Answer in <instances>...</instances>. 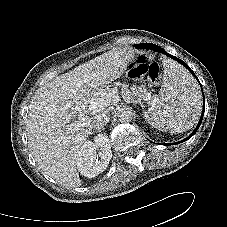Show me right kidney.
<instances>
[{"label":"right kidney","mask_w":227,"mask_h":227,"mask_svg":"<svg viewBox=\"0 0 227 227\" xmlns=\"http://www.w3.org/2000/svg\"><path fill=\"white\" fill-rule=\"evenodd\" d=\"M96 150H100L97 154ZM112 158L110 141L104 134L94 138V142L88 141L81 147L77 157L78 171L88 178H93L102 173Z\"/></svg>","instance_id":"1"}]
</instances>
